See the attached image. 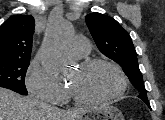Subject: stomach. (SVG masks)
<instances>
[{
    "instance_id": "0dacf381",
    "label": "stomach",
    "mask_w": 165,
    "mask_h": 120,
    "mask_svg": "<svg viewBox=\"0 0 165 120\" xmlns=\"http://www.w3.org/2000/svg\"><path fill=\"white\" fill-rule=\"evenodd\" d=\"M80 120H124V117L116 107L105 105L88 109Z\"/></svg>"
}]
</instances>
